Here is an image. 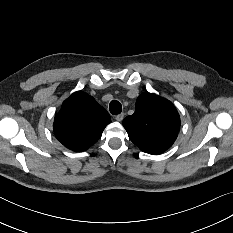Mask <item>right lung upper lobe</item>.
<instances>
[{
	"label": "right lung upper lobe",
	"mask_w": 233,
	"mask_h": 233,
	"mask_svg": "<svg viewBox=\"0 0 233 233\" xmlns=\"http://www.w3.org/2000/svg\"><path fill=\"white\" fill-rule=\"evenodd\" d=\"M110 122L108 112L93 97L78 91L63 102L56 114L54 133L65 147L82 152L98 141Z\"/></svg>",
	"instance_id": "obj_1"
}]
</instances>
